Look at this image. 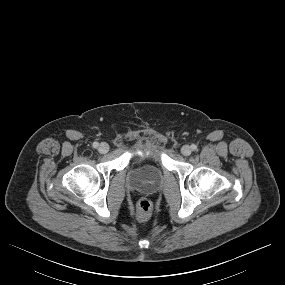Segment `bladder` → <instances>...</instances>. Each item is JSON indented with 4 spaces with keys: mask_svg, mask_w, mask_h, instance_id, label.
<instances>
[{
    "mask_svg": "<svg viewBox=\"0 0 285 285\" xmlns=\"http://www.w3.org/2000/svg\"><path fill=\"white\" fill-rule=\"evenodd\" d=\"M127 181L136 189L153 191L161 185L163 174L157 166L146 164L131 168L127 174Z\"/></svg>",
    "mask_w": 285,
    "mask_h": 285,
    "instance_id": "1",
    "label": "bladder"
}]
</instances>
